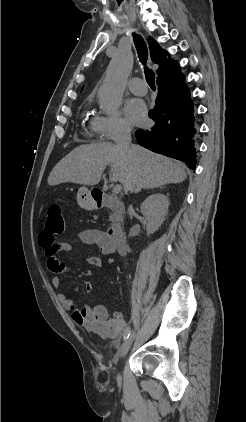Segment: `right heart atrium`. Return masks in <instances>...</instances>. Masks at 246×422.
Wrapping results in <instances>:
<instances>
[{
	"mask_svg": "<svg viewBox=\"0 0 246 422\" xmlns=\"http://www.w3.org/2000/svg\"><path fill=\"white\" fill-rule=\"evenodd\" d=\"M92 129L104 141H114L128 135L130 123L120 115H99L93 119Z\"/></svg>",
	"mask_w": 246,
	"mask_h": 422,
	"instance_id": "d8ad5b80",
	"label": "right heart atrium"
}]
</instances>
